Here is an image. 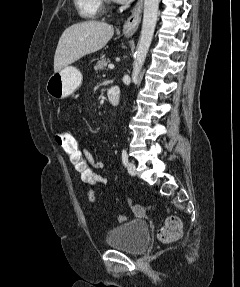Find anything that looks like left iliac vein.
I'll return each instance as SVG.
<instances>
[{"label": "left iliac vein", "mask_w": 240, "mask_h": 287, "mask_svg": "<svg viewBox=\"0 0 240 287\" xmlns=\"http://www.w3.org/2000/svg\"><path fill=\"white\" fill-rule=\"evenodd\" d=\"M127 169L130 175L135 176L136 175V167L133 162H129L127 165Z\"/></svg>", "instance_id": "1"}]
</instances>
